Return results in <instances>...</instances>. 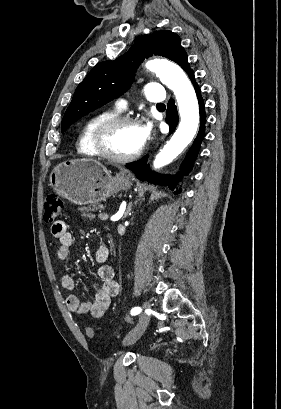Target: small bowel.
I'll return each mask as SVG.
<instances>
[{
    "instance_id": "1",
    "label": "small bowel",
    "mask_w": 281,
    "mask_h": 409,
    "mask_svg": "<svg viewBox=\"0 0 281 409\" xmlns=\"http://www.w3.org/2000/svg\"><path fill=\"white\" fill-rule=\"evenodd\" d=\"M51 233L58 242L56 251L58 260L67 261L74 243L73 234L69 232L67 223L63 220L55 221L51 226ZM109 256L108 245L100 242L94 250V259L98 263L96 275L99 279L95 287V297L91 302H81L76 295H69L65 301L69 312L78 315L89 313L94 318H101L105 314L112 298L116 297L120 290L119 283L115 279V270L107 263ZM60 283L65 290H73L75 287L74 278L69 273L61 275Z\"/></svg>"
}]
</instances>
